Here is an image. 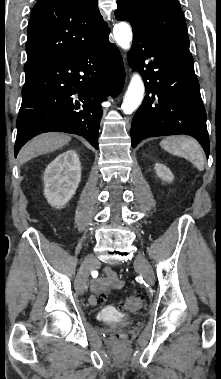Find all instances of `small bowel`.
Instances as JSON below:
<instances>
[{
    "label": "small bowel",
    "instance_id": "c3829d8e",
    "mask_svg": "<svg viewBox=\"0 0 221 379\" xmlns=\"http://www.w3.org/2000/svg\"><path fill=\"white\" fill-rule=\"evenodd\" d=\"M103 273V277L94 279L90 285L89 302L92 305L97 304L99 298L104 297L111 288H120L123 285L122 280L111 267H105Z\"/></svg>",
    "mask_w": 221,
    "mask_h": 379
}]
</instances>
